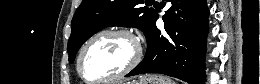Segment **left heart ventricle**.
<instances>
[{"label":"left heart ventricle","mask_w":260,"mask_h":84,"mask_svg":"<svg viewBox=\"0 0 260 84\" xmlns=\"http://www.w3.org/2000/svg\"><path fill=\"white\" fill-rule=\"evenodd\" d=\"M134 46L123 36L104 35L95 40L85 52L81 70L92 81L121 71L131 60Z\"/></svg>","instance_id":"1"}]
</instances>
